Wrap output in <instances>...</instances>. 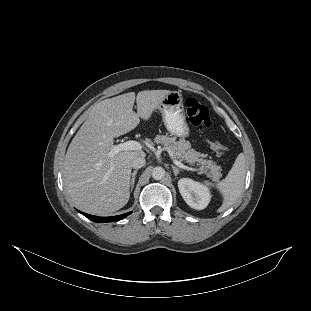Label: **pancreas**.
Here are the masks:
<instances>
[{"mask_svg":"<svg viewBox=\"0 0 311 311\" xmlns=\"http://www.w3.org/2000/svg\"><path fill=\"white\" fill-rule=\"evenodd\" d=\"M156 144H160L166 150L173 152L174 157L181 161L193 165L197 163L200 165L199 174H205L212 181L218 182L222 177V169L214 161L205 159L207 154L197 152L191 148L189 141L184 138L177 140L176 136L170 137L167 135H156L154 138Z\"/></svg>","mask_w":311,"mask_h":311,"instance_id":"obj_1","label":"pancreas"}]
</instances>
